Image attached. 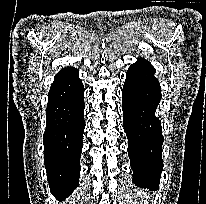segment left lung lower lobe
I'll return each mask as SVG.
<instances>
[{"label": "left lung lower lobe", "mask_w": 206, "mask_h": 204, "mask_svg": "<svg viewBox=\"0 0 206 204\" xmlns=\"http://www.w3.org/2000/svg\"><path fill=\"white\" fill-rule=\"evenodd\" d=\"M155 68L145 59L131 65L122 90L123 126L133 182L157 190L163 169L161 121L155 116L161 89Z\"/></svg>", "instance_id": "1"}]
</instances>
